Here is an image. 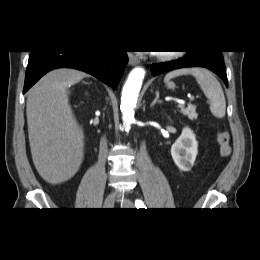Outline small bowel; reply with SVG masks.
Returning a JSON list of instances; mask_svg holds the SVG:
<instances>
[{
    "label": "small bowel",
    "mask_w": 260,
    "mask_h": 260,
    "mask_svg": "<svg viewBox=\"0 0 260 260\" xmlns=\"http://www.w3.org/2000/svg\"><path fill=\"white\" fill-rule=\"evenodd\" d=\"M218 143L220 145V151L223 156H226L230 153L229 139L226 133H221L218 135Z\"/></svg>",
    "instance_id": "obj_1"
}]
</instances>
